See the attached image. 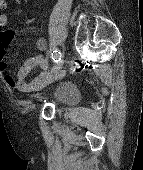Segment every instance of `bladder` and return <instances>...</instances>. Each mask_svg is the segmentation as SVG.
<instances>
[{"instance_id": "bladder-1", "label": "bladder", "mask_w": 143, "mask_h": 170, "mask_svg": "<svg viewBox=\"0 0 143 170\" xmlns=\"http://www.w3.org/2000/svg\"><path fill=\"white\" fill-rule=\"evenodd\" d=\"M54 103L59 105H72L79 99L76 86L67 81L56 84L51 92Z\"/></svg>"}]
</instances>
